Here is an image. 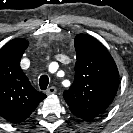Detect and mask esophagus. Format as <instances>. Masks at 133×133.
Masks as SVG:
<instances>
[{
	"mask_svg": "<svg viewBox=\"0 0 133 133\" xmlns=\"http://www.w3.org/2000/svg\"><path fill=\"white\" fill-rule=\"evenodd\" d=\"M56 91H57L56 87L51 86V87H49V88L46 90V94H47V95L55 94Z\"/></svg>",
	"mask_w": 133,
	"mask_h": 133,
	"instance_id": "34e87169",
	"label": "esophagus"
}]
</instances>
